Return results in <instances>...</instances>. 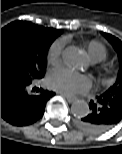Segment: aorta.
<instances>
[{
	"instance_id": "obj_1",
	"label": "aorta",
	"mask_w": 122,
	"mask_h": 154,
	"mask_svg": "<svg viewBox=\"0 0 122 154\" xmlns=\"http://www.w3.org/2000/svg\"><path fill=\"white\" fill-rule=\"evenodd\" d=\"M62 57L64 63L70 68H77L83 62L82 52L75 47L66 48ZM89 111V106L85 101L77 100L71 105V113L76 117L86 116Z\"/></svg>"
}]
</instances>
